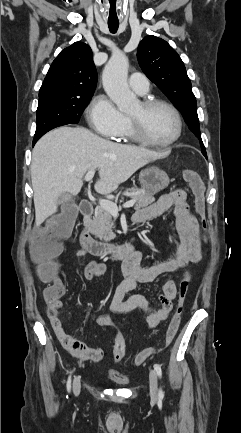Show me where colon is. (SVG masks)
Returning a JSON list of instances; mask_svg holds the SVG:
<instances>
[{
	"instance_id": "colon-1",
	"label": "colon",
	"mask_w": 241,
	"mask_h": 433,
	"mask_svg": "<svg viewBox=\"0 0 241 433\" xmlns=\"http://www.w3.org/2000/svg\"><path fill=\"white\" fill-rule=\"evenodd\" d=\"M186 180L194 194L196 212L203 217L204 215V186L198 173L187 169L184 171ZM59 214L50 219L49 224L39 234L35 236L30 247L33 260L39 265V275L45 282H54L44 292L46 300L54 299L61 291L62 287L55 285L56 267L54 258L62 248V240L68 237L73 225L74 214H80V205H73L71 201H64L58 207ZM190 276L185 274L179 286V306L168 324L165 334V344H170L177 334L181 322V313L184 299L187 294ZM126 341L121 333L116 334L113 355L116 361H121L125 355ZM152 349L140 351L135 359V365H141L153 355Z\"/></svg>"
}]
</instances>
